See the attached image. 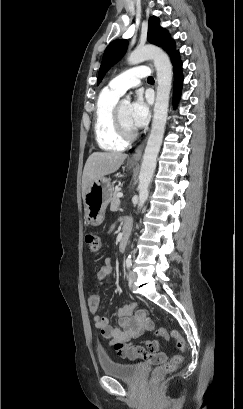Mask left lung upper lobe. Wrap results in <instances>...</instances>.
Returning a JSON list of instances; mask_svg holds the SVG:
<instances>
[{
    "label": "left lung upper lobe",
    "mask_w": 243,
    "mask_h": 409,
    "mask_svg": "<svg viewBox=\"0 0 243 409\" xmlns=\"http://www.w3.org/2000/svg\"><path fill=\"white\" fill-rule=\"evenodd\" d=\"M148 41L162 47L170 56L176 52L174 41L169 37L168 31L161 28L159 18L155 16L149 19ZM127 46L128 41L121 39L114 40L107 46L99 69L97 84L101 82L109 68L123 57Z\"/></svg>",
    "instance_id": "5c2ea615"
}]
</instances>
